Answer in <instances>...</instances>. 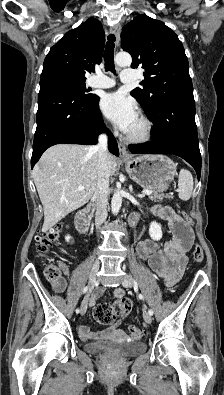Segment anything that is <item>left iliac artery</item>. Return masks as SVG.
<instances>
[{"instance_id":"44dca946","label":"left iliac artery","mask_w":224,"mask_h":395,"mask_svg":"<svg viewBox=\"0 0 224 395\" xmlns=\"http://www.w3.org/2000/svg\"><path fill=\"white\" fill-rule=\"evenodd\" d=\"M139 298H140L141 300H144V296H143L142 294H139ZM148 313L152 316V315H153V310H152V309H149V310H148Z\"/></svg>"}]
</instances>
